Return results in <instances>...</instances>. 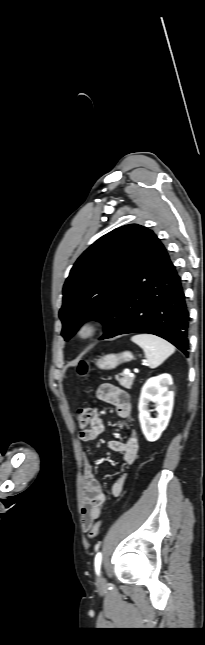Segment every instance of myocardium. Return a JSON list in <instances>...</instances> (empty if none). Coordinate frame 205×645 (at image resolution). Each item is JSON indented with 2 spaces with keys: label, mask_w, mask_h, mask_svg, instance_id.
<instances>
[{
  "label": "myocardium",
  "mask_w": 205,
  "mask_h": 645,
  "mask_svg": "<svg viewBox=\"0 0 205 645\" xmlns=\"http://www.w3.org/2000/svg\"><path fill=\"white\" fill-rule=\"evenodd\" d=\"M98 330V325L96 322L88 320L83 322L78 330H77V336L81 340H89L95 336Z\"/></svg>",
  "instance_id": "obj_1"
}]
</instances>
